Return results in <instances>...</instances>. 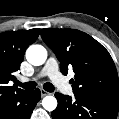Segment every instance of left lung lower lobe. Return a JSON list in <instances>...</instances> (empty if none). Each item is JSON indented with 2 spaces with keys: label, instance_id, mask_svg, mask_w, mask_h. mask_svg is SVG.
I'll return each instance as SVG.
<instances>
[{
  "label": "left lung lower lobe",
  "instance_id": "left-lung-lower-lobe-1",
  "mask_svg": "<svg viewBox=\"0 0 119 119\" xmlns=\"http://www.w3.org/2000/svg\"><path fill=\"white\" fill-rule=\"evenodd\" d=\"M57 108L52 112L53 119H116L119 104L88 98L74 93V98L55 93Z\"/></svg>",
  "mask_w": 119,
  "mask_h": 119
}]
</instances>
